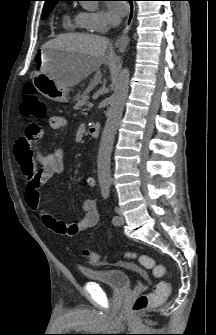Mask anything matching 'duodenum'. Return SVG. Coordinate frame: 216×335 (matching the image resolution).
Segmentation results:
<instances>
[{
  "label": "duodenum",
  "instance_id": "1",
  "mask_svg": "<svg viewBox=\"0 0 216 335\" xmlns=\"http://www.w3.org/2000/svg\"><path fill=\"white\" fill-rule=\"evenodd\" d=\"M99 130H100V125L99 124H92L90 127H89V135L93 138H96L99 134Z\"/></svg>",
  "mask_w": 216,
  "mask_h": 335
}]
</instances>
